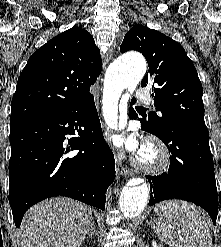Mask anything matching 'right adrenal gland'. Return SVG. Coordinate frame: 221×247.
<instances>
[{"label": "right adrenal gland", "instance_id": "right-adrenal-gland-1", "mask_svg": "<svg viewBox=\"0 0 221 247\" xmlns=\"http://www.w3.org/2000/svg\"><path fill=\"white\" fill-rule=\"evenodd\" d=\"M95 233V225H94V221H92L91 226L88 230V236H92Z\"/></svg>", "mask_w": 221, "mask_h": 247}]
</instances>
